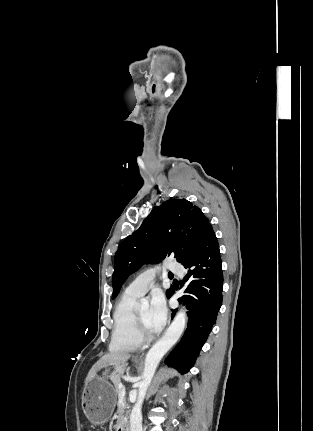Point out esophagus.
I'll use <instances>...</instances> for the list:
<instances>
[{"instance_id":"34e87169","label":"esophagus","mask_w":313,"mask_h":431,"mask_svg":"<svg viewBox=\"0 0 313 431\" xmlns=\"http://www.w3.org/2000/svg\"><path fill=\"white\" fill-rule=\"evenodd\" d=\"M143 357V353L140 355H137V358L141 359Z\"/></svg>"}]
</instances>
